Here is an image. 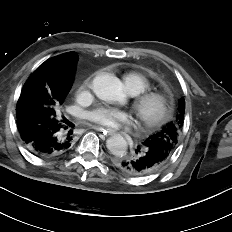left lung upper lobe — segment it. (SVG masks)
<instances>
[{
  "instance_id": "left-lung-upper-lobe-1",
  "label": "left lung upper lobe",
  "mask_w": 232,
  "mask_h": 232,
  "mask_svg": "<svg viewBox=\"0 0 232 232\" xmlns=\"http://www.w3.org/2000/svg\"><path fill=\"white\" fill-rule=\"evenodd\" d=\"M184 114L185 101L184 98H181L174 119L166 124L159 132L145 139L144 143L158 146L171 155L178 143V137L184 123Z\"/></svg>"
}]
</instances>
